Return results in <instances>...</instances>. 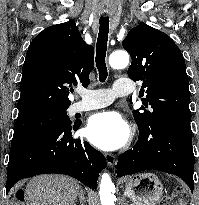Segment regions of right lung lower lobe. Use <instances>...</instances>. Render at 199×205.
I'll return each instance as SVG.
<instances>
[{"mask_svg": "<svg viewBox=\"0 0 199 205\" xmlns=\"http://www.w3.org/2000/svg\"><path fill=\"white\" fill-rule=\"evenodd\" d=\"M80 124L45 130L11 145L7 170L6 193L23 178L59 173L97 188L100 171L106 167L104 155L88 142L73 139Z\"/></svg>", "mask_w": 199, "mask_h": 205, "instance_id": "right-lung-lower-lobe-1", "label": "right lung lower lobe"}]
</instances>
